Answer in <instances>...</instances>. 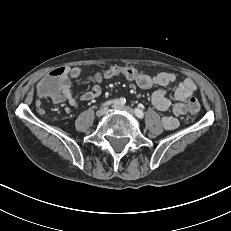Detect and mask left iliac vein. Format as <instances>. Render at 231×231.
Masks as SVG:
<instances>
[{
  "label": "left iliac vein",
  "mask_w": 231,
  "mask_h": 231,
  "mask_svg": "<svg viewBox=\"0 0 231 231\" xmlns=\"http://www.w3.org/2000/svg\"><path fill=\"white\" fill-rule=\"evenodd\" d=\"M113 108H115L117 110H120V111H124V112L128 113L131 116L134 115V111L128 106L115 105V106H113Z\"/></svg>",
  "instance_id": "obj_1"
}]
</instances>
